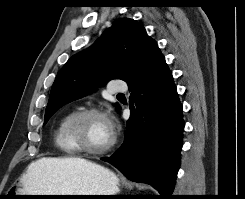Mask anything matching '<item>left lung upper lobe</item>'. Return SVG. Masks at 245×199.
<instances>
[{
  "mask_svg": "<svg viewBox=\"0 0 245 199\" xmlns=\"http://www.w3.org/2000/svg\"><path fill=\"white\" fill-rule=\"evenodd\" d=\"M159 50L145 28L121 18L86 50L72 56L59 71L45 111L44 125L63 105L80 99L111 79L127 83L139 77Z\"/></svg>",
  "mask_w": 245,
  "mask_h": 199,
  "instance_id": "1",
  "label": "left lung upper lobe"
}]
</instances>
